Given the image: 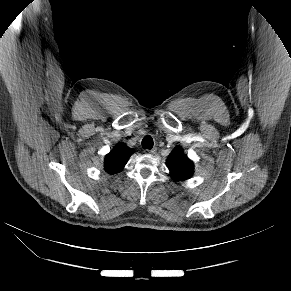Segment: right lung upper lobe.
<instances>
[{
	"mask_svg": "<svg viewBox=\"0 0 291 291\" xmlns=\"http://www.w3.org/2000/svg\"><path fill=\"white\" fill-rule=\"evenodd\" d=\"M133 152L134 150L126 146L124 143H118L105 157V171L109 174L120 172Z\"/></svg>",
	"mask_w": 291,
	"mask_h": 291,
	"instance_id": "cb5924a9",
	"label": "right lung upper lobe"
}]
</instances>
